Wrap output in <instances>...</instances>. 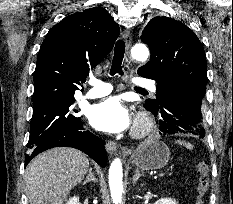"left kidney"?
Segmentation results:
<instances>
[{
    "mask_svg": "<svg viewBox=\"0 0 233 204\" xmlns=\"http://www.w3.org/2000/svg\"><path fill=\"white\" fill-rule=\"evenodd\" d=\"M155 204H178V203L171 198H162L156 201Z\"/></svg>",
    "mask_w": 233,
    "mask_h": 204,
    "instance_id": "obj_1",
    "label": "left kidney"
}]
</instances>
